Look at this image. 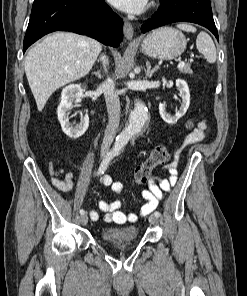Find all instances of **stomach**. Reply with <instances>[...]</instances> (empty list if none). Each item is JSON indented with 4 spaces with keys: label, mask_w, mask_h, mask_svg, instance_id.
<instances>
[{
    "label": "stomach",
    "mask_w": 247,
    "mask_h": 296,
    "mask_svg": "<svg viewBox=\"0 0 247 296\" xmlns=\"http://www.w3.org/2000/svg\"><path fill=\"white\" fill-rule=\"evenodd\" d=\"M186 38L178 30L162 27L148 34L140 45L141 51L153 58L172 60L186 49Z\"/></svg>",
    "instance_id": "1"
}]
</instances>
